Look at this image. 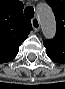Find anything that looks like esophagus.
<instances>
[{
	"label": "esophagus",
	"instance_id": "obj_1",
	"mask_svg": "<svg viewBox=\"0 0 65 89\" xmlns=\"http://www.w3.org/2000/svg\"><path fill=\"white\" fill-rule=\"evenodd\" d=\"M32 26H33V29L35 31H39V29H40V22H39V19L37 17L32 19Z\"/></svg>",
	"mask_w": 65,
	"mask_h": 89
}]
</instances>
